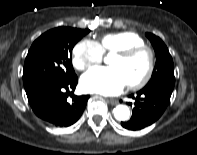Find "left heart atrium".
Returning a JSON list of instances; mask_svg holds the SVG:
<instances>
[{
	"label": "left heart atrium",
	"instance_id": "1",
	"mask_svg": "<svg viewBox=\"0 0 197 155\" xmlns=\"http://www.w3.org/2000/svg\"><path fill=\"white\" fill-rule=\"evenodd\" d=\"M80 85L85 92L110 96L120 93L127 83L118 69L95 67L81 77Z\"/></svg>",
	"mask_w": 197,
	"mask_h": 155
}]
</instances>
